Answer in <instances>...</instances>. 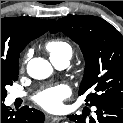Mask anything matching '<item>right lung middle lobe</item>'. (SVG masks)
<instances>
[{
    "instance_id": "dd1d6c3e",
    "label": "right lung middle lobe",
    "mask_w": 123,
    "mask_h": 123,
    "mask_svg": "<svg viewBox=\"0 0 123 123\" xmlns=\"http://www.w3.org/2000/svg\"><path fill=\"white\" fill-rule=\"evenodd\" d=\"M19 64L1 67V100L7 96L6 86L18 79Z\"/></svg>"
}]
</instances>
